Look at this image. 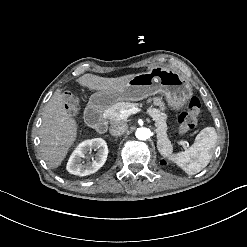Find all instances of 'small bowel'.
<instances>
[{
    "instance_id": "1",
    "label": "small bowel",
    "mask_w": 247,
    "mask_h": 247,
    "mask_svg": "<svg viewBox=\"0 0 247 247\" xmlns=\"http://www.w3.org/2000/svg\"><path fill=\"white\" fill-rule=\"evenodd\" d=\"M150 102L155 105L156 107L160 108V109H164V103L161 99L159 98H153L150 100Z\"/></svg>"
}]
</instances>
